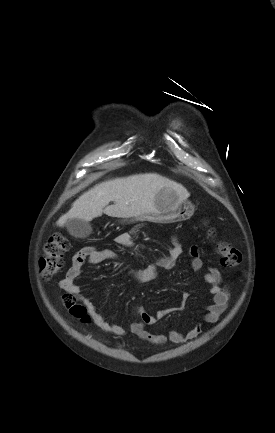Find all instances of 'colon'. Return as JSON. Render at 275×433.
Masks as SVG:
<instances>
[{"label": "colon", "mask_w": 275, "mask_h": 433, "mask_svg": "<svg viewBox=\"0 0 275 433\" xmlns=\"http://www.w3.org/2000/svg\"><path fill=\"white\" fill-rule=\"evenodd\" d=\"M211 237L215 236L213 229L209 230ZM216 252L220 257L221 263L227 267H235L241 263L242 255L239 250L231 247L224 240L216 241ZM69 248V241L61 232L53 233L44 247V256L41 259V273L43 276L57 274L63 267V257ZM62 303L72 316L81 322H88V315L85 307L77 303L76 298L68 293L62 294Z\"/></svg>", "instance_id": "1"}]
</instances>
